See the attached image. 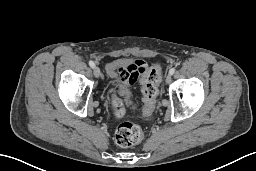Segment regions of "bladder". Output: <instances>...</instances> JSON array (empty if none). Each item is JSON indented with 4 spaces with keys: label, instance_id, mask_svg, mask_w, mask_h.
Masks as SVG:
<instances>
[{
    "label": "bladder",
    "instance_id": "obj_1",
    "mask_svg": "<svg viewBox=\"0 0 256 171\" xmlns=\"http://www.w3.org/2000/svg\"><path fill=\"white\" fill-rule=\"evenodd\" d=\"M108 73L110 75L111 78H114L115 77V72L112 68H109L108 69ZM118 93L123 96L125 99H130L131 96H132V89H131V86L130 84H128L127 82H124V81H120L118 83Z\"/></svg>",
    "mask_w": 256,
    "mask_h": 171
}]
</instances>
